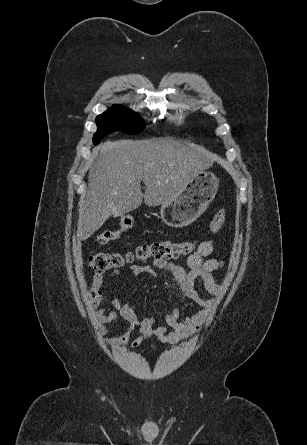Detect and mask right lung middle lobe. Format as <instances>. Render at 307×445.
<instances>
[{
    "label": "right lung middle lobe",
    "mask_w": 307,
    "mask_h": 445,
    "mask_svg": "<svg viewBox=\"0 0 307 445\" xmlns=\"http://www.w3.org/2000/svg\"><path fill=\"white\" fill-rule=\"evenodd\" d=\"M96 124L98 130L93 137L94 144H98L106 134L113 131L137 134L145 128L144 120L137 113L121 105H114L97 116Z\"/></svg>",
    "instance_id": "obj_1"
}]
</instances>
